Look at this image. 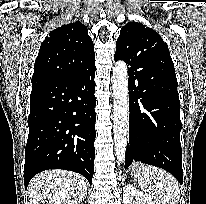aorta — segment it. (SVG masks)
<instances>
[{
  "label": "aorta",
  "mask_w": 206,
  "mask_h": 204,
  "mask_svg": "<svg viewBox=\"0 0 206 204\" xmlns=\"http://www.w3.org/2000/svg\"><path fill=\"white\" fill-rule=\"evenodd\" d=\"M128 70L124 61L113 67L114 145L118 166L124 163L129 131Z\"/></svg>",
  "instance_id": "aorta-1"
}]
</instances>
